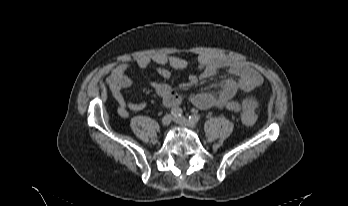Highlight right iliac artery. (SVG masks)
<instances>
[{
  "mask_svg": "<svg viewBox=\"0 0 348 206\" xmlns=\"http://www.w3.org/2000/svg\"><path fill=\"white\" fill-rule=\"evenodd\" d=\"M171 114L174 117H181L182 116V110L180 108H178V107L172 108L171 109Z\"/></svg>",
  "mask_w": 348,
  "mask_h": 206,
  "instance_id": "1",
  "label": "right iliac artery"
}]
</instances>
